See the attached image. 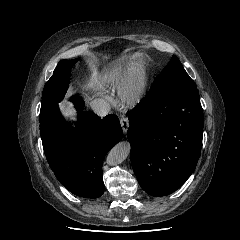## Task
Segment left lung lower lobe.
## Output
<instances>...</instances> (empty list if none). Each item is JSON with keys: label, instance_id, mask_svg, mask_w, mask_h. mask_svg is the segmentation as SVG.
<instances>
[{"label": "left lung lower lobe", "instance_id": "obj_1", "mask_svg": "<svg viewBox=\"0 0 240 240\" xmlns=\"http://www.w3.org/2000/svg\"><path fill=\"white\" fill-rule=\"evenodd\" d=\"M131 162L142 189L165 196L194 172L203 137L197 87L169 86L148 94L127 112Z\"/></svg>", "mask_w": 240, "mask_h": 240}]
</instances>
